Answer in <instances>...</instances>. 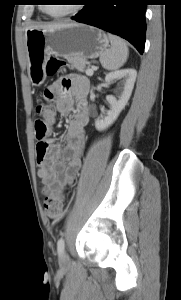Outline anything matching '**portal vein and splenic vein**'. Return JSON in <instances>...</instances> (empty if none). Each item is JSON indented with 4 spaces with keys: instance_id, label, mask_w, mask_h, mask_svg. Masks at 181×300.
Here are the masks:
<instances>
[{
    "instance_id": "18ae733b",
    "label": "portal vein and splenic vein",
    "mask_w": 181,
    "mask_h": 300,
    "mask_svg": "<svg viewBox=\"0 0 181 300\" xmlns=\"http://www.w3.org/2000/svg\"><path fill=\"white\" fill-rule=\"evenodd\" d=\"M94 71L92 69H87L86 75L87 76H93Z\"/></svg>"
}]
</instances>
